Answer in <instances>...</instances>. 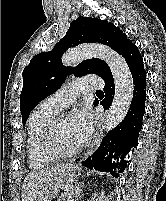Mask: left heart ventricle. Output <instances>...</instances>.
I'll use <instances>...</instances> for the list:
<instances>
[{"mask_svg": "<svg viewBox=\"0 0 166 201\" xmlns=\"http://www.w3.org/2000/svg\"><path fill=\"white\" fill-rule=\"evenodd\" d=\"M57 141L61 148L69 150L78 147L74 134L69 128L68 121L62 119L56 128Z\"/></svg>", "mask_w": 166, "mask_h": 201, "instance_id": "b2bd125f", "label": "left heart ventricle"}]
</instances>
